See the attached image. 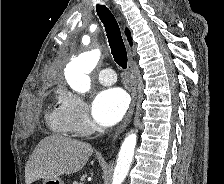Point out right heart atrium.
<instances>
[{
    "mask_svg": "<svg viewBox=\"0 0 224 184\" xmlns=\"http://www.w3.org/2000/svg\"><path fill=\"white\" fill-rule=\"evenodd\" d=\"M61 102L73 133L77 135L88 133L91 128V120L85 101L75 93L66 92L61 96Z\"/></svg>",
    "mask_w": 224,
    "mask_h": 184,
    "instance_id": "right-heart-atrium-1",
    "label": "right heart atrium"
}]
</instances>
